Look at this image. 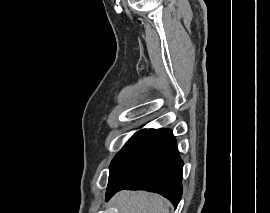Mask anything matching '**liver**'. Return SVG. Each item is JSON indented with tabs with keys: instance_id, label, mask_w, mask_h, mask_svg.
I'll return each mask as SVG.
<instances>
[{
	"instance_id": "liver-1",
	"label": "liver",
	"mask_w": 270,
	"mask_h": 213,
	"mask_svg": "<svg viewBox=\"0 0 270 213\" xmlns=\"http://www.w3.org/2000/svg\"><path fill=\"white\" fill-rule=\"evenodd\" d=\"M119 213H169V202L147 192L121 191L113 198Z\"/></svg>"
}]
</instances>
